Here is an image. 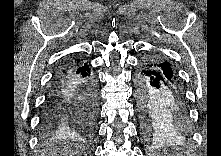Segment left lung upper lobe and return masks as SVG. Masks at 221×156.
Instances as JSON below:
<instances>
[{
	"mask_svg": "<svg viewBox=\"0 0 221 156\" xmlns=\"http://www.w3.org/2000/svg\"><path fill=\"white\" fill-rule=\"evenodd\" d=\"M143 61H145L147 63L154 64V65H156L158 67H161L165 70L172 71L173 73L176 74V72L174 71L172 65L167 60H164L161 56H158V55L148 56L145 59H143Z\"/></svg>",
	"mask_w": 221,
	"mask_h": 156,
	"instance_id": "left-lung-upper-lobe-1",
	"label": "left lung upper lobe"
}]
</instances>
